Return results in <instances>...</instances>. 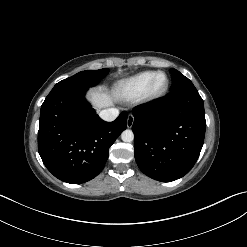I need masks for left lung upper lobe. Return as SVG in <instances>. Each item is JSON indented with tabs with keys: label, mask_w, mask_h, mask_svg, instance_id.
<instances>
[{
	"label": "left lung upper lobe",
	"mask_w": 247,
	"mask_h": 247,
	"mask_svg": "<svg viewBox=\"0 0 247 247\" xmlns=\"http://www.w3.org/2000/svg\"><path fill=\"white\" fill-rule=\"evenodd\" d=\"M170 73L172 75L171 93L197 91L192 82L176 69H170Z\"/></svg>",
	"instance_id": "left-lung-upper-lobe-1"
}]
</instances>
